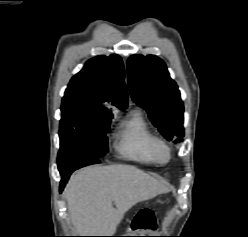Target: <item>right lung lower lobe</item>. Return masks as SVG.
Returning <instances> with one entry per match:
<instances>
[{
    "label": "right lung lower lobe",
    "instance_id": "1",
    "mask_svg": "<svg viewBox=\"0 0 248 237\" xmlns=\"http://www.w3.org/2000/svg\"><path fill=\"white\" fill-rule=\"evenodd\" d=\"M100 163V160L95 157H90L88 155L82 157H67L58 158V168L61 174L60 182V192H62L65 184L67 183L71 173L81 167L88 166L91 164Z\"/></svg>",
    "mask_w": 248,
    "mask_h": 237
}]
</instances>
